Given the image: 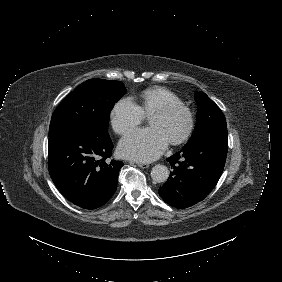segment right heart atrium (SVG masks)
I'll return each mask as SVG.
<instances>
[{"label":"right heart atrium","instance_id":"right-heart-atrium-1","mask_svg":"<svg viewBox=\"0 0 282 282\" xmlns=\"http://www.w3.org/2000/svg\"><path fill=\"white\" fill-rule=\"evenodd\" d=\"M144 119V114L130 99H123L111 111V123L114 131L124 134L137 126Z\"/></svg>","mask_w":282,"mask_h":282}]
</instances>
